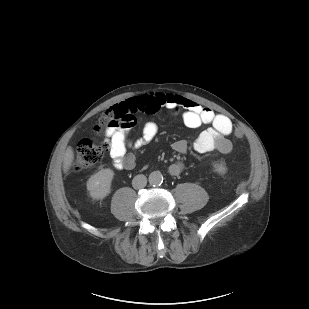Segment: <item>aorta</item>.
<instances>
[{
    "instance_id": "1",
    "label": "aorta",
    "mask_w": 309,
    "mask_h": 309,
    "mask_svg": "<svg viewBox=\"0 0 309 309\" xmlns=\"http://www.w3.org/2000/svg\"><path fill=\"white\" fill-rule=\"evenodd\" d=\"M149 183L153 186L161 185L163 182V176L160 171H153L149 175Z\"/></svg>"
}]
</instances>
